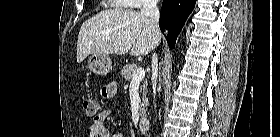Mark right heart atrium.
I'll list each match as a JSON object with an SVG mask.
<instances>
[{
  "label": "right heart atrium",
  "instance_id": "d8ad5b80",
  "mask_svg": "<svg viewBox=\"0 0 280 137\" xmlns=\"http://www.w3.org/2000/svg\"><path fill=\"white\" fill-rule=\"evenodd\" d=\"M133 3L136 7L144 8L148 6L149 1L148 0H133Z\"/></svg>",
  "mask_w": 280,
  "mask_h": 137
}]
</instances>
